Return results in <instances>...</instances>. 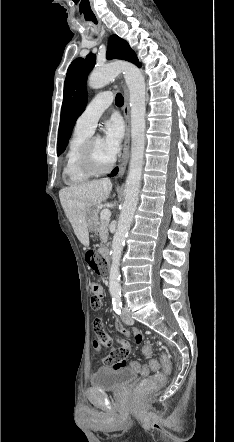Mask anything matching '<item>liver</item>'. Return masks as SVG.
<instances>
[{"label":"liver","instance_id":"liver-1","mask_svg":"<svg viewBox=\"0 0 234 442\" xmlns=\"http://www.w3.org/2000/svg\"><path fill=\"white\" fill-rule=\"evenodd\" d=\"M112 183L101 179L88 183L73 185L60 190L59 198L63 210L72 225L78 240L89 246V232L86 224L88 211L109 198Z\"/></svg>","mask_w":234,"mask_h":442}]
</instances>
